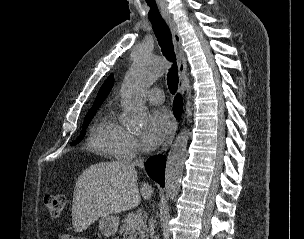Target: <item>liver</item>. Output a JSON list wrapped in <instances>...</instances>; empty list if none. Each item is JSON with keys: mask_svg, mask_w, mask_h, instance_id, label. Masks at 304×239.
<instances>
[{"mask_svg": "<svg viewBox=\"0 0 304 239\" xmlns=\"http://www.w3.org/2000/svg\"><path fill=\"white\" fill-rule=\"evenodd\" d=\"M152 187H137V172L121 162H103L86 168L73 194L72 225L75 232L86 230L102 216L117 214L139 205L141 195L149 199Z\"/></svg>", "mask_w": 304, "mask_h": 239, "instance_id": "liver-1", "label": "liver"}]
</instances>
